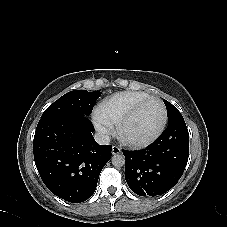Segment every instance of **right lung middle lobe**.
<instances>
[{
	"label": "right lung middle lobe",
	"mask_w": 227,
	"mask_h": 227,
	"mask_svg": "<svg viewBox=\"0 0 227 227\" xmlns=\"http://www.w3.org/2000/svg\"><path fill=\"white\" fill-rule=\"evenodd\" d=\"M101 92L74 90L66 93L42 114L41 119L82 118L91 114Z\"/></svg>",
	"instance_id": "obj_1"
}]
</instances>
